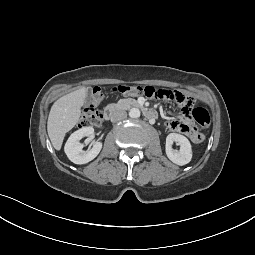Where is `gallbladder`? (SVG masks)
<instances>
[{
	"instance_id": "1",
	"label": "gallbladder",
	"mask_w": 255,
	"mask_h": 255,
	"mask_svg": "<svg viewBox=\"0 0 255 255\" xmlns=\"http://www.w3.org/2000/svg\"><path fill=\"white\" fill-rule=\"evenodd\" d=\"M90 96H91V92L88 90L87 93H86L85 103L89 100Z\"/></svg>"
}]
</instances>
